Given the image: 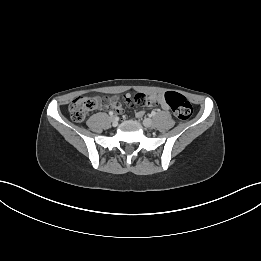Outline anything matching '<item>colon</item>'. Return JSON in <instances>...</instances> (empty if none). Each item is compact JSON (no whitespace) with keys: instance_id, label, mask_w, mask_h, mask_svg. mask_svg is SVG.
<instances>
[{"instance_id":"5ec220e1","label":"colon","mask_w":261,"mask_h":261,"mask_svg":"<svg viewBox=\"0 0 261 261\" xmlns=\"http://www.w3.org/2000/svg\"><path fill=\"white\" fill-rule=\"evenodd\" d=\"M164 99L179 120L187 121L191 117L192 105L183 95L167 92L164 94ZM95 107V98L79 96L70 104V116L75 122H82Z\"/></svg>"}]
</instances>
